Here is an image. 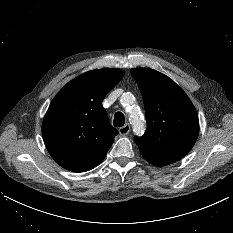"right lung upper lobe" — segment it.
<instances>
[{
    "instance_id": "obj_1",
    "label": "right lung upper lobe",
    "mask_w": 233,
    "mask_h": 233,
    "mask_svg": "<svg viewBox=\"0 0 233 233\" xmlns=\"http://www.w3.org/2000/svg\"><path fill=\"white\" fill-rule=\"evenodd\" d=\"M121 69L88 71L68 82L43 119L42 135L52 158L63 168L85 172L105 158L118 131L102 101L123 78Z\"/></svg>"
}]
</instances>
